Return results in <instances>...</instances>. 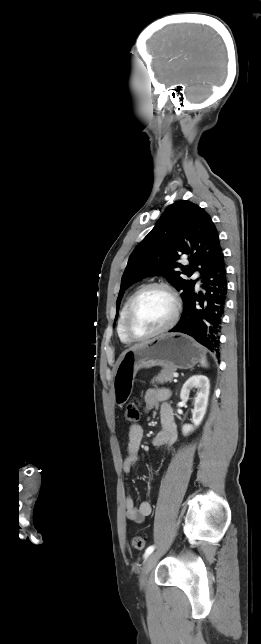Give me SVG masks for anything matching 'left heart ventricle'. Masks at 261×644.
<instances>
[{"label": "left heart ventricle", "mask_w": 261, "mask_h": 644, "mask_svg": "<svg viewBox=\"0 0 261 644\" xmlns=\"http://www.w3.org/2000/svg\"><path fill=\"white\" fill-rule=\"evenodd\" d=\"M173 302L169 294L159 288L144 292L137 300L130 326L139 336L149 334L163 327L171 318Z\"/></svg>", "instance_id": "obj_1"}]
</instances>
